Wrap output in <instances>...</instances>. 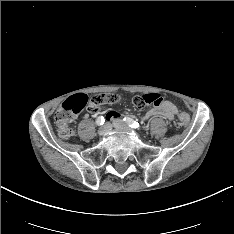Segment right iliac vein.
<instances>
[{"instance_id":"63e3f726","label":"right iliac vein","mask_w":234,"mask_h":234,"mask_svg":"<svg viewBox=\"0 0 234 234\" xmlns=\"http://www.w3.org/2000/svg\"><path fill=\"white\" fill-rule=\"evenodd\" d=\"M110 130V124L106 123L104 126H102L99 130L98 133L100 136L106 135Z\"/></svg>"}]
</instances>
